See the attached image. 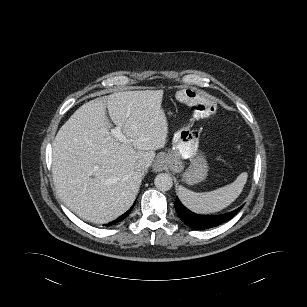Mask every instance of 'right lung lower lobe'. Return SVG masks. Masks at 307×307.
I'll use <instances>...</instances> for the list:
<instances>
[{"mask_svg": "<svg viewBox=\"0 0 307 307\" xmlns=\"http://www.w3.org/2000/svg\"><path fill=\"white\" fill-rule=\"evenodd\" d=\"M133 206H134V205H133ZM133 206H132L125 214H123L121 217H119L117 220H115V221H113V222H111V223H108L107 226H110V225H112V224H115V223H117V222L123 220L124 218H126V217L128 216V214L131 212Z\"/></svg>", "mask_w": 307, "mask_h": 307, "instance_id": "right-lung-lower-lobe-1", "label": "right lung lower lobe"}]
</instances>
